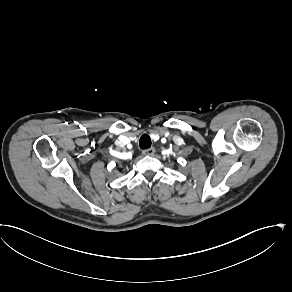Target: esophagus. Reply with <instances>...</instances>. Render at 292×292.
<instances>
[{"instance_id":"obj_1","label":"esophagus","mask_w":292,"mask_h":292,"mask_svg":"<svg viewBox=\"0 0 292 292\" xmlns=\"http://www.w3.org/2000/svg\"><path fill=\"white\" fill-rule=\"evenodd\" d=\"M155 153V148L151 147L142 151V154L145 156H153Z\"/></svg>"}]
</instances>
